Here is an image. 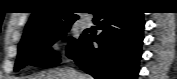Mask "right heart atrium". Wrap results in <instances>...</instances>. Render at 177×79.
I'll use <instances>...</instances> for the list:
<instances>
[{"instance_id": "1", "label": "right heart atrium", "mask_w": 177, "mask_h": 79, "mask_svg": "<svg viewBox=\"0 0 177 79\" xmlns=\"http://www.w3.org/2000/svg\"><path fill=\"white\" fill-rule=\"evenodd\" d=\"M63 45L60 37L52 38L47 44V51L50 55L57 56L62 53Z\"/></svg>"}]
</instances>
